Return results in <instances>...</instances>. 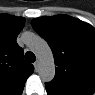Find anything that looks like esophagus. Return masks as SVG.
Listing matches in <instances>:
<instances>
[{
  "label": "esophagus",
  "instance_id": "esophagus-1",
  "mask_svg": "<svg viewBox=\"0 0 95 95\" xmlns=\"http://www.w3.org/2000/svg\"><path fill=\"white\" fill-rule=\"evenodd\" d=\"M38 67H39V62H38V61H36V62L34 63L35 71H38Z\"/></svg>",
  "mask_w": 95,
  "mask_h": 95
}]
</instances>
